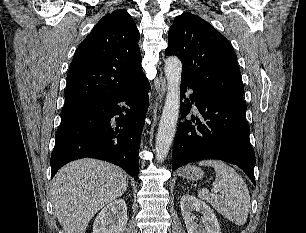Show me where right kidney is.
I'll return each mask as SVG.
<instances>
[{
	"mask_svg": "<svg viewBox=\"0 0 306 233\" xmlns=\"http://www.w3.org/2000/svg\"><path fill=\"white\" fill-rule=\"evenodd\" d=\"M127 220L125 201L116 199L106 205L97 215L93 224V233H123Z\"/></svg>",
	"mask_w": 306,
	"mask_h": 233,
	"instance_id": "obj_1",
	"label": "right kidney"
}]
</instances>
